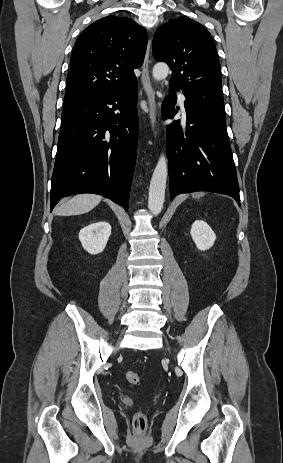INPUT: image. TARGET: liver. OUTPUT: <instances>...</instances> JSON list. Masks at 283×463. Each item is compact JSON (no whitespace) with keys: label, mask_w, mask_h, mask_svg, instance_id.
Instances as JSON below:
<instances>
[{"label":"liver","mask_w":283,"mask_h":463,"mask_svg":"<svg viewBox=\"0 0 283 463\" xmlns=\"http://www.w3.org/2000/svg\"><path fill=\"white\" fill-rule=\"evenodd\" d=\"M101 198L95 194L75 195L70 200L60 204L55 210V215L72 216L87 213L100 203Z\"/></svg>","instance_id":"liver-1"}]
</instances>
